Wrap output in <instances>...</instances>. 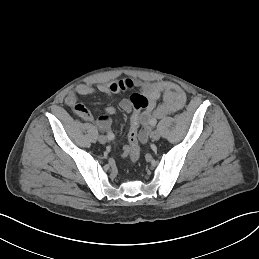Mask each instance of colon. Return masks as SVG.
<instances>
[{
  "label": "colon",
  "mask_w": 259,
  "mask_h": 259,
  "mask_svg": "<svg viewBox=\"0 0 259 259\" xmlns=\"http://www.w3.org/2000/svg\"><path fill=\"white\" fill-rule=\"evenodd\" d=\"M130 102L132 105V115L130 129L128 133V155L132 163H137L140 157L139 133L141 125V114L148 107V99L142 93H134Z\"/></svg>",
  "instance_id": "1"
}]
</instances>
